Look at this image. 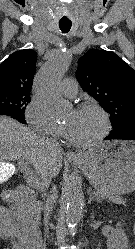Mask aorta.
I'll return each mask as SVG.
<instances>
[{
    "instance_id": "762f6f07",
    "label": "aorta",
    "mask_w": 135,
    "mask_h": 249,
    "mask_svg": "<svg viewBox=\"0 0 135 249\" xmlns=\"http://www.w3.org/2000/svg\"><path fill=\"white\" fill-rule=\"evenodd\" d=\"M71 56L62 52L48 62L38 73L34 92L38 102L46 112L53 116H59L64 111L63 99L59 90V83L69 68ZM66 202V222L68 226H76L83 209L82 180L80 177H72L64 190Z\"/></svg>"
}]
</instances>
